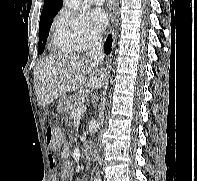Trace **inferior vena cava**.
Masks as SVG:
<instances>
[{"label":"inferior vena cava","instance_id":"obj_1","mask_svg":"<svg viewBox=\"0 0 197 181\" xmlns=\"http://www.w3.org/2000/svg\"><path fill=\"white\" fill-rule=\"evenodd\" d=\"M89 56L97 65L104 61L103 38L98 32H93L91 35Z\"/></svg>","mask_w":197,"mask_h":181}]
</instances>
